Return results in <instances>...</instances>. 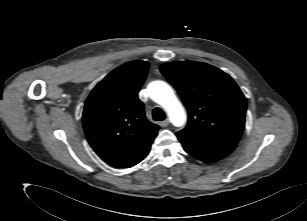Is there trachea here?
Instances as JSON below:
<instances>
[{
	"instance_id": "3493384b",
	"label": "trachea",
	"mask_w": 307,
	"mask_h": 221,
	"mask_svg": "<svg viewBox=\"0 0 307 221\" xmlns=\"http://www.w3.org/2000/svg\"><path fill=\"white\" fill-rule=\"evenodd\" d=\"M153 119L156 121H161L165 119V113L159 107H156L152 111Z\"/></svg>"
}]
</instances>
